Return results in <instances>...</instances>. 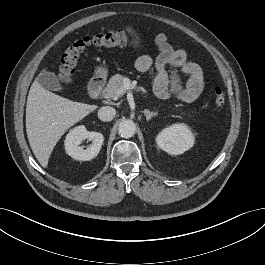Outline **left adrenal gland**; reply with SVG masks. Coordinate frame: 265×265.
Instances as JSON below:
<instances>
[{
    "instance_id": "left-adrenal-gland-1",
    "label": "left adrenal gland",
    "mask_w": 265,
    "mask_h": 265,
    "mask_svg": "<svg viewBox=\"0 0 265 265\" xmlns=\"http://www.w3.org/2000/svg\"><path fill=\"white\" fill-rule=\"evenodd\" d=\"M144 115L146 116V120L149 121L152 117L157 116V112H151L147 109L143 111Z\"/></svg>"
}]
</instances>
